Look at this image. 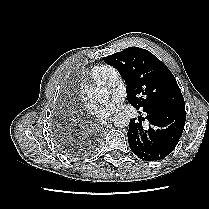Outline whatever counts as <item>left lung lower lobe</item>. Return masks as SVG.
Returning <instances> with one entry per match:
<instances>
[{"mask_svg":"<svg viewBox=\"0 0 209 209\" xmlns=\"http://www.w3.org/2000/svg\"><path fill=\"white\" fill-rule=\"evenodd\" d=\"M148 126L130 120L128 142L134 154L145 161L164 159L176 147L186 120L185 112L169 108L143 110Z\"/></svg>","mask_w":209,"mask_h":209,"instance_id":"left-lung-lower-lobe-1","label":"left lung lower lobe"}]
</instances>
